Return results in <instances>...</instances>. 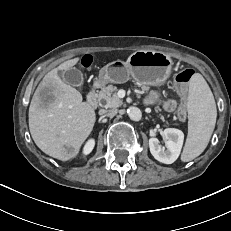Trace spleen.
I'll list each match as a JSON object with an SVG mask.
<instances>
[{
    "label": "spleen",
    "instance_id": "3e777b00",
    "mask_svg": "<svg viewBox=\"0 0 231 231\" xmlns=\"http://www.w3.org/2000/svg\"><path fill=\"white\" fill-rule=\"evenodd\" d=\"M187 109L188 135L181 155L183 162L193 160L205 150L217 118L213 94L199 73L194 74L190 80Z\"/></svg>",
    "mask_w": 231,
    "mask_h": 231
}]
</instances>
